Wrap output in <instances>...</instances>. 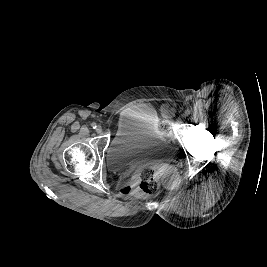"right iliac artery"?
Returning a JSON list of instances; mask_svg holds the SVG:
<instances>
[{
  "mask_svg": "<svg viewBox=\"0 0 267 267\" xmlns=\"http://www.w3.org/2000/svg\"><path fill=\"white\" fill-rule=\"evenodd\" d=\"M91 126H92L93 129H96V127H97L96 123H92Z\"/></svg>",
  "mask_w": 267,
  "mask_h": 267,
  "instance_id": "right-iliac-artery-1",
  "label": "right iliac artery"
}]
</instances>
